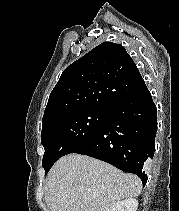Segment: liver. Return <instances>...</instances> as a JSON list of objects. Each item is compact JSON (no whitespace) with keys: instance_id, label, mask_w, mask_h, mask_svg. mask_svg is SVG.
Wrapping results in <instances>:
<instances>
[{"instance_id":"1","label":"liver","mask_w":179,"mask_h":211,"mask_svg":"<svg viewBox=\"0 0 179 211\" xmlns=\"http://www.w3.org/2000/svg\"><path fill=\"white\" fill-rule=\"evenodd\" d=\"M142 182L98 159L69 154L47 176L45 202L51 211H108L125 198L138 197Z\"/></svg>"}]
</instances>
